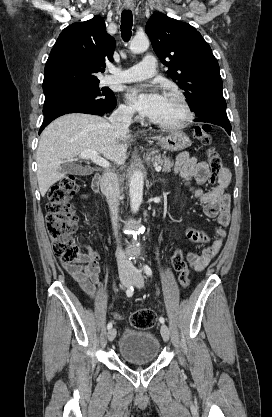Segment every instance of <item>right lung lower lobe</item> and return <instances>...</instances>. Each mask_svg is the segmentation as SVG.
<instances>
[{
    "instance_id": "obj_1",
    "label": "right lung lower lobe",
    "mask_w": 272,
    "mask_h": 417,
    "mask_svg": "<svg viewBox=\"0 0 272 417\" xmlns=\"http://www.w3.org/2000/svg\"><path fill=\"white\" fill-rule=\"evenodd\" d=\"M116 104L117 102L115 100L110 105L103 106V107H98L96 105L83 104V103H71V104L61 106L55 109L54 111H52L50 114L45 116L42 126L40 127L39 134L52 120L64 114L86 113V114H94V115H103L105 113L111 112L116 107Z\"/></svg>"
}]
</instances>
